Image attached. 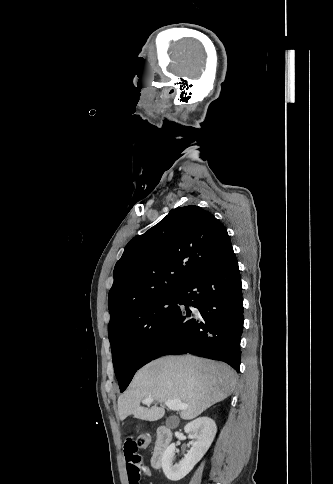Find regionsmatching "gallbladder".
I'll use <instances>...</instances> for the list:
<instances>
[{
    "instance_id": "gallbladder-1",
    "label": "gallbladder",
    "mask_w": 333,
    "mask_h": 484,
    "mask_svg": "<svg viewBox=\"0 0 333 484\" xmlns=\"http://www.w3.org/2000/svg\"><path fill=\"white\" fill-rule=\"evenodd\" d=\"M173 418L174 417H168L167 418L166 423H165L167 427H170V428L172 427V419Z\"/></svg>"
}]
</instances>
